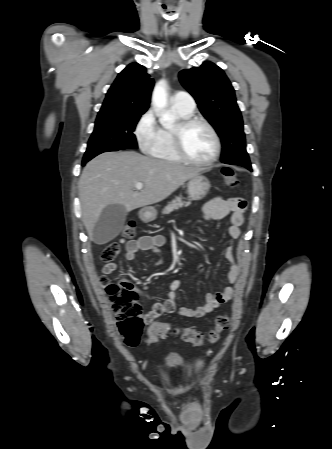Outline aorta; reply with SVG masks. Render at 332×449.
I'll return each mask as SVG.
<instances>
[{
    "instance_id": "1",
    "label": "aorta",
    "mask_w": 332,
    "mask_h": 449,
    "mask_svg": "<svg viewBox=\"0 0 332 449\" xmlns=\"http://www.w3.org/2000/svg\"><path fill=\"white\" fill-rule=\"evenodd\" d=\"M152 103L158 111H160V122L163 125L170 124L174 118L164 109L167 106V84L165 80L159 81L153 90Z\"/></svg>"
}]
</instances>
